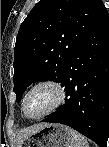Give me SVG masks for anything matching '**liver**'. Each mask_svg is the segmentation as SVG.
Listing matches in <instances>:
<instances>
[{
  "mask_svg": "<svg viewBox=\"0 0 109 147\" xmlns=\"http://www.w3.org/2000/svg\"><path fill=\"white\" fill-rule=\"evenodd\" d=\"M46 125H47V124H45V123H41V124H36V125H34V126H31V127H29V128H25V129L20 130V131L18 132V136H17L18 142L21 143V141H22L24 138H26V137H28V136L34 134L35 132H37L38 130H40L42 127H44V126H46Z\"/></svg>",
  "mask_w": 109,
  "mask_h": 147,
  "instance_id": "liver-1",
  "label": "liver"
}]
</instances>
